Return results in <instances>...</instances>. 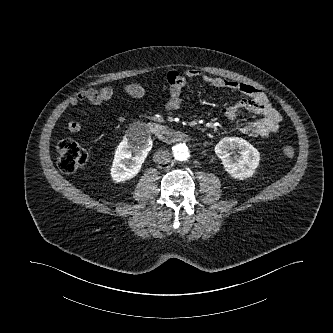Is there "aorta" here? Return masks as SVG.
Masks as SVG:
<instances>
[{"label": "aorta", "mask_w": 333, "mask_h": 333, "mask_svg": "<svg viewBox=\"0 0 333 333\" xmlns=\"http://www.w3.org/2000/svg\"><path fill=\"white\" fill-rule=\"evenodd\" d=\"M174 158L178 161H187L189 158V150L185 144H177L173 147Z\"/></svg>", "instance_id": "aorta-1"}]
</instances>
